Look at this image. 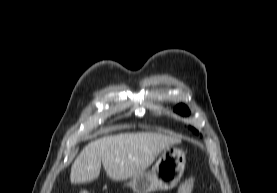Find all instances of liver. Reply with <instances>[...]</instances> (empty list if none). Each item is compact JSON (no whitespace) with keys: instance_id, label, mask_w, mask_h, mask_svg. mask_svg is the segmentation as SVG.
I'll list each match as a JSON object with an SVG mask.
<instances>
[{"instance_id":"liver-1","label":"liver","mask_w":277,"mask_h":193,"mask_svg":"<svg viewBox=\"0 0 277 193\" xmlns=\"http://www.w3.org/2000/svg\"><path fill=\"white\" fill-rule=\"evenodd\" d=\"M176 137L159 133H121L90 142L71 167V183L97 179L101 163L112 180H126L151 166L164 149L180 143Z\"/></svg>"}]
</instances>
